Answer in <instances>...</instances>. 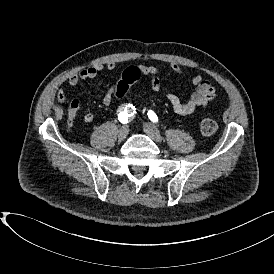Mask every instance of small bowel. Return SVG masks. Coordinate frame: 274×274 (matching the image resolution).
I'll list each match as a JSON object with an SVG mask.
<instances>
[{
    "mask_svg": "<svg viewBox=\"0 0 274 274\" xmlns=\"http://www.w3.org/2000/svg\"><path fill=\"white\" fill-rule=\"evenodd\" d=\"M169 67L178 76H185L183 68L178 63L170 62ZM116 68L117 64L113 61H109L105 65H92L81 70L80 72L72 74L69 77L68 82L71 87H77L81 81L96 78L97 75L104 69L113 71ZM140 70L150 79L152 90L159 91L161 89L159 69L154 65H141ZM117 84L110 86L103 96V104L107 107H112L113 105V100L117 91ZM191 84L195 87V91L187 100H181L177 95L171 92L166 95L173 112L177 115H189L199 108H204L213 98L217 96L216 89L200 74L192 77ZM56 98L58 103L62 104L64 100V92L62 89L57 92ZM71 104L79 108L78 99H74ZM83 120L85 123L90 124L95 120V115L93 113H87Z\"/></svg>",
    "mask_w": 274,
    "mask_h": 274,
    "instance_id": "obj_1",
    "label": "small bowel"
}]
</instances>
